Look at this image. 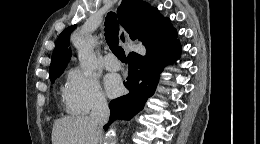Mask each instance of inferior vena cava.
<instances>
[{
  "label": "inferior vena cava",
  "mask_w": 260,
  "mask_h": 144,
  "mask_svg": "<svg viewBox=\"0 0 260 144\" xmlns=\"http://www.w3.org/2000/svg\"><path fill=\"white\" fill-rule=\"evenodd\" d=\"M109 115L110 111L106 100L104 98H97L90 113V120L99 133L108 122Z\"/></svg>",
  "instance_id": "inferior-vena-cava-1"
}]
</instances>
